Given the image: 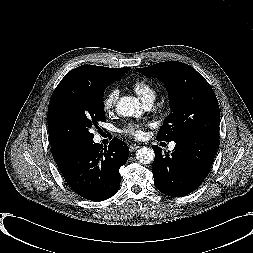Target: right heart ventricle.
I'll use <instances>...</instances> for the list:
<instances>
[{"label":"right heart ventricle","mask_w":253,"mask_h":253,"mask_svg":"<svg viewBox=\"0 0 253 253\" xmlns=\"http://www.w3.org/2000/svg\"><path fill=\"white\" fill-rule=\"evenodd\" d=\"M132 89L143 103L154 101L157 95L156 90L145 81H137L133 84Z\"/></svg>","instance_id":"obj_1"}]
</instances>
